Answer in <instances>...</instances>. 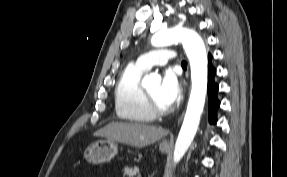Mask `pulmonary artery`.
<instances>
[{
	"mask_svg": "<svg viewBox=\"0 0 287 177\" xmlns=\"http://www.w3.org/2000/svg\"><path fill=\"white\" fill-rule=\"evenodd\" d=\"M169 61H173L177 65L179 58L170 47H163L145 53L136 61V64L142 69L148 70L152 66H163Z\"/></svg>",
	"mask_w": 287,
	"mask_h": 177,
	"instance_id": "pulmonary-artery-1",
	"label": "pulmonary artery"
}]
</instances>
